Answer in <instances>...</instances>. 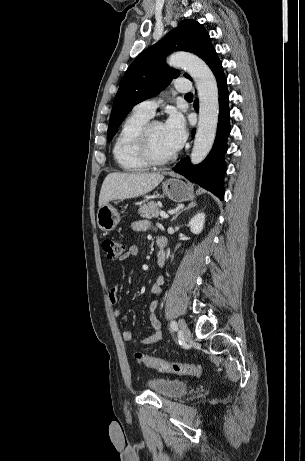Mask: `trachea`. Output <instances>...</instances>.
Here are the masks:
<instances>
[{"label": "trachea", "mask_w": 305, "mask_h": 461, "mask_svg": "<svg viewBox=\"0 0 305 461\" xmlns=\"http://www.w3.org/2000/svg\"><path fill=\"white\" fill-rule=\"evenodd\" d=\"M185 97H193L192 93H187Z\"/></svg>", "instance_id": "3493384b"}]
</instances>
